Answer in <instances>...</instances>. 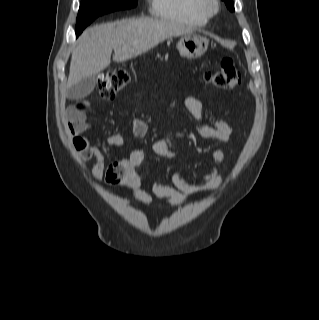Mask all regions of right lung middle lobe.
<instances>
[{
    "label": "right lung middle lobe",
    "instance_id": "1",
    "mask_svg": "<svg viewBox=\"0 0 319 320\" xmlns=\"http://www.w3.org/2000/svg\"><path fill=\"white\" fill-rule=\"evenodd\" d=\"M136 5L137 0H81L75 32L79 35L99 15Z\"/></svg>",
    "mask_w": 319,
    "mask_h": 320
}]
</instances>
